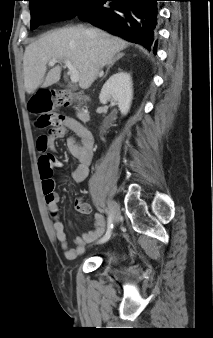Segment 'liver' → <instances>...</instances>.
<instances>
[{"mask_svg":"<svg viewBox=\"0 0 213 338\" xmlns=\"http://www.w3.org/2000/svg\"><path fill=\"white\" fill-rule=\"evenodd\" d=\"M129 42L96 28L83 26L48 32L26 47L23 58L24 86L28 94L38 87H48L60 79L61 67L52 68L45 77L51 60H69L79 72V86L87 89L99 70Z\"/></svg>","mask_w":213,"mask_h":338,"instance_id":"1","label":"liver"}]
</instances>
